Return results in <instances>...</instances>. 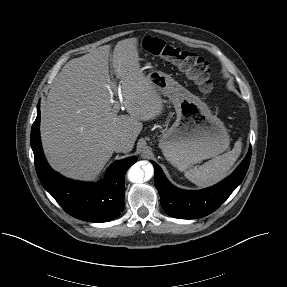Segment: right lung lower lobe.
Returning <instances> with one entry per match:
<instances>
[{"instance_id": "98d812e1", "label": "right lung lower lobe", "mask_w": 287, "mask_h": 287, "mask_svg": "<svg viewBox=\"0 0 287 287\" xmlns=\"http://www.w3.org/2000/svg\"><path fill=\"white\" fill-rule=\"evenodd\" d=\"M40 110L31 128V147L35 168L43 187L71 216L88 222H107L124 209V175L136 161L130 157L114 162L100 183H86L67 179L48 165L40 142Z\"/></svg>"}]
</instances>
